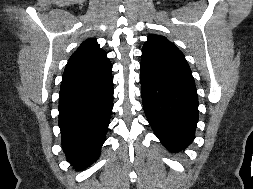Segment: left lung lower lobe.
Instances as JSON below:
<instances>
[{
  "label": "left lung lower lobe",
  "mask_w": 253,
  "mask_h": 189,
  "mask_svg": "<svg viewBox=\"0 0 253 189\" xmlns=\"http://www.w3.org/2000/svg\"><path fill=\"white\" fill-rule=\"evenodd\" d=\"M140 69L143 107L155 135L171 151L186 148L198 122L194 80L144 64Z\"/></svg>",
  "instance_id": "1"
}]
</instances>
